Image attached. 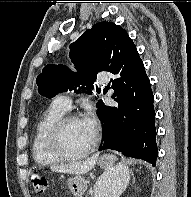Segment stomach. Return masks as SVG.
<instances>
[{
    "label": "stomach",
    "instance_id": "stomach-1",
    "mask_svg": "<svg viewBox=\"0 0 191 197\" xmlns=\"http://www.w3.org/2000/svg\"><path fill=\"white\" fill-rule=\"evenodd\" d=\"M116 157L110 154H105L101 156L98 160V165L104 169L107 170V174L110 175V179L106 186L105 195L107 197L115 196V190L116 188L125 185L127 182L124 180H120L119 178L112 175V172L116 170V168L119 166H115ZM121 165V164H120ZM122 167H126L125 165H121ZM67 185L71 193L75 197H82V195L85 193L87 189V181L84 177L81 175H76L73 177H69L67 179Z\"/></svg>",
    "mask_w": 191,
    "mask_h": 197
}]
</instances>
